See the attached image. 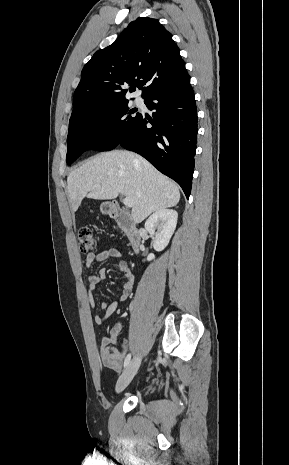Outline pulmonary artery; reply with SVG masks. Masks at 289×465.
I'll use <instances>...</instances> for the list:
<instances>
[{"label": "pulmonary artery", "mask_w": 289, "mask_h": 465, "mask_svg": "<svg viewBox=\"0 0 289 465\" xmlns=\"http://www.w3.org/2000/svg\"><path fill=\"white\" fill-rule=\"evenodd\" d=\"M136 101H137V102H140V98L137 97V98H136Z\"/></svg>", "instance_id": "e3ab8cb5"}]
</instances>
